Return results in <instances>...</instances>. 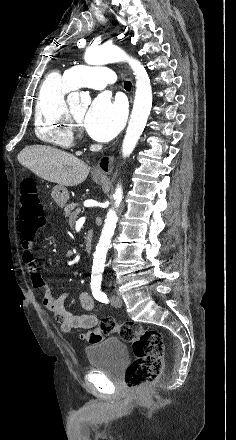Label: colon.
Here are the masks:
<instances>
[{
    "label": "colon",
    "mask_w": 236,
    "mask_h": 440,
    "mask_svg": "<svg viewBox=\"0 0 236 440\" xmlns=\"http://www.w3.org/2000/svg\"><path fill=\"white\" fill-rule=\"evenodd\" d=\"M20 202V231L23 238L31 240L45 225L44 205L31 179H25L21 184ZM100 325L105 336L118 333L123 341L132 344L135 359L125 373V383L130 389L137 390L160 376L164 363V345L157 330L144 329L133 321L117 324L110 318H103ZM88 340L95 343L101 339Z\"/></svg>",
    "instance_id": "obj_1"
}]
</instances>
